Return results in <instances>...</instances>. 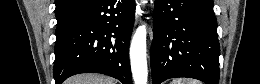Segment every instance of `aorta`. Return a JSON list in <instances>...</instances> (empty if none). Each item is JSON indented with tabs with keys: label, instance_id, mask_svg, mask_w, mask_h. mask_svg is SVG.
Listing matches in <instances>:
<instances>
[{
	"label": "aorta",
	"instance_id": "762f6f07",
	"mask_svg": "<svg viewBox=\"0 0 260 84\" xmlns=\"http://www.w3.org/2000/svg\"><path fill=\"white\" fill-rule=\"evenodd\" d=\"M146 34V26L141 25L136 29L131 41L130 61L135 84L147 83Z\"/></svg>",
	"mask_w": 260,
	"mask_h": 84
}]
</instances>
